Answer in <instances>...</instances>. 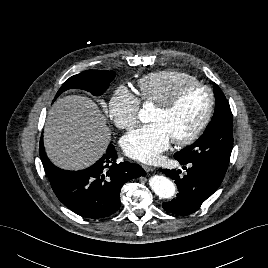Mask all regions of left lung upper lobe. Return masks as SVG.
I'll return each instance as SVG.
<instances>
[{
    "instance_id": "5c2ea615",
    "label": "left lung upper lobe",
    "mask_w": 268,
    "mask_h": 268,
    "mask_svg": "<svg viewBox=\"0 0 268 268\" xmlns=\"http://www.w3.org/2000/svg\"><path fill=\"white\" fill-rule=\"evenodd\" d=\"M215 112L205 132L193 144L174 154L181 163H204L226 172L233 147V115L225 95L213 84Z\"/></svg>"
}]
</instances>
